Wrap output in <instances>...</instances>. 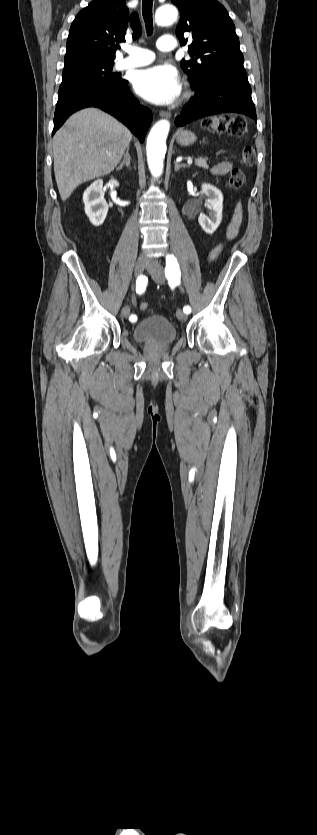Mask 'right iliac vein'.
I'll return each instance as SVG.
<instances>
[{"instance_id":"1","label":"right iliac vein","mask_w":317,"mask_h":835,"mask_svg":"<svg viewBox=\"0 0 317 835\" xmlns=\"http://www.w3.org/2000/svg\"><path fill=\"white\" fill-rule=\"evenodd\" d=\"M147 265H148L147 259L145 257H139L136 261V264H135V274L136 275H141L143 273V271L145 270V268L147 267ZM129 314H130V308L128 306L123 307L122 310H121V316L122 317H128Z\"/></svg>"}]
</instances>
